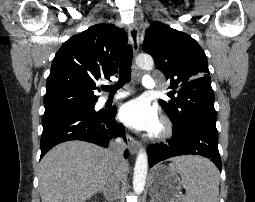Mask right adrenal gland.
Listing matches in <instances>:
<instances>
[{
    "label": "right adrenal gland",
    "mask_w": 255,
    "mask_h": 202,
    "mask_svg": "<svg viewBox=\"0 0 255 202\" xmlns=\"http://www.w3.org/2000/svg\"><path fill=\"white\" fill-rule=\"evenodd\" d=\"M100 193H103L104 198H105L107 201H109V202H114V199H111V198L107 195V193H106V191H105L104 189H102V190L100 191Z\"/></svg>",
    "instance_id": "1"
}]
</instances>
